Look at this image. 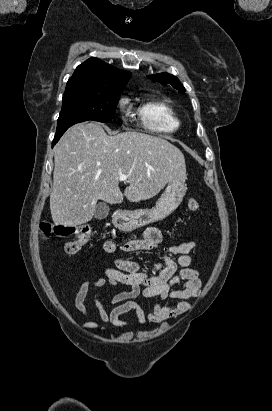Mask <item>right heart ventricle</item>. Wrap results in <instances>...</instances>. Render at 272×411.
Returning a JSON list of instances; mask_svg holds the SVG:
<instances>
[{
    "instance_id": "1",
    "label": "right heart ventricle",
    "mask_w": 272,
    "mask_h": 411,
    "mask_svg": "<svg viewBox=\"0 0 272 411\" xmlns=\"http://www.w3.org/2000/svg\"><path fill=\"white\" fill-rule=\"evenodd\" d=\"M137 114L143 125L157 133H171L180 127V120L168 104L148 99L137 108Z\"/></svg>"
}]
</instances>
